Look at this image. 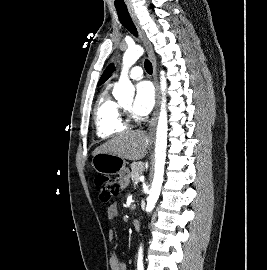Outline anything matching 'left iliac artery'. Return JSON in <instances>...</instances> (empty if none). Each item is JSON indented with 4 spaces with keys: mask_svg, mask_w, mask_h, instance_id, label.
I'll return each mask as SVG.
<instances>
[{
    "mask_svg": "<svg viewBox=\"0 0 267 270\" xmlns=\"http://www.w3.org/2000/svg\"><path fill=\"white\" fill-rule=\"evenodd\" d=\"M137 270H144V267L142 264L138 265Z\"/></svg>",
    "mask_w": 267,
    "mask_h": 270,
    "instance_id": "obj_1",
    "label": "left iliac artery"
}]
</instances>
